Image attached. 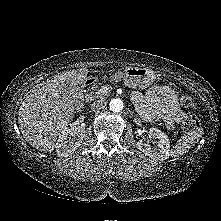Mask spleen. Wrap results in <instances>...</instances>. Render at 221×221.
Instances as JSON below:
<instances>
[{
  "label": "spleen",
  "mask_w": 221,
  "mask_h": 221,
  "mask_svg": "<svg viewBox=\"0 0 221 221\" xmlns=\"http://www.w3.org/2000/svg\"><path fill=\"white\" fill-rule=\"evenodd\" d=\"M202 132H191L187 133V135L182 136L170 151V156L178 157L184 155V153L188 152L190 148L195 146V144L199 141V137H201Z\"/></svg>",
  "instance_id": "obj_1"
}]
</instances>
